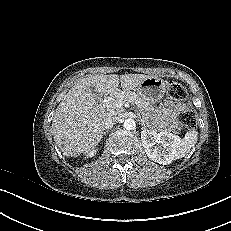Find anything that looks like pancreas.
Listing matches in <instances>:
<instances>
[{
	"instance_id": "pancreas-1",
	"label": "pancreas",
	"mask_w": 231,
	"mask_h": 231,
	"mask_svg": "<svg viewBox=\"0 0 231 231\" xmlns=\"http://www.w3.org/2000/svg\"><path fill=\"white\" fill-rule=\"evenodd\" d=\"M126 101L135 104L140 109H146L149 106L148 101L140 98L133 92H121L116 95H113L107 98L104 104L109 113H121L123 111V108L119 107V104ZM168 130L177 133V131L173 129Z\"/></svg>"
}]
</instances>
